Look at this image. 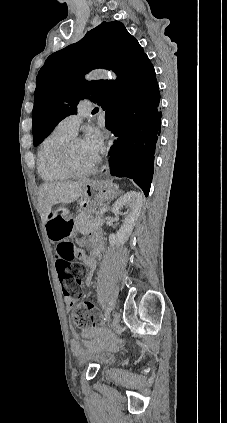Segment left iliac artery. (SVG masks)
<instances>
[{
  "label": "left iliac artery",
  "mask_w": 227,
  "mask_h": 423,
  "mask_svg": "<svg viewBox=\"0 0 227 423\" xmlns=\"http://www.w3.org/2000/svg\"><path fill=\"white\" fill-rule=\"evenodd\" d=\"M112 306H113V302H110L108 308L105 311L104 321L101 323V325H103L105 323V321H107L108 318L110 317V313L113 310Z\"/></svg>",
  "instance_id": "obj_1"
}]
</instances>
